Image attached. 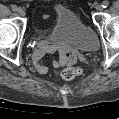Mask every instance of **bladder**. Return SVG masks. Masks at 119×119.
<instances>
[{"label": "bladder", "instance_id": "31cf9c89", "mask_svg": "<svg viewBox=\"0 0 119 119\" xmlns=\"http://www.w3.org/2000/svg\"><path fill=\"white\" fill-rule=\"evenodd\" d=\"M55 14L56 18L50 34L56 41L69 43L81 52L98 50L97 34L73 10L65 5H57Z\"/></svg>", "mask_w": 119, "mask_h": 119}]
</instances>
